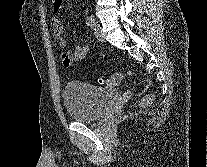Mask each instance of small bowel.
<instances>
[{"label": "small bowel", "instance_id": "small-bowel-1", "mask_svg": "<svg viewBox=\"0 0 207 167\" xmlns=\"http://www.w3.org/2000/svg\"><path fill=\"white\" fill-rule=\"evenodd\" d=\"M63 0H52L53 6V18L51 21L53 33L55 37L59 40V46L61 48V60L65 67H72L77 62H80L86 58L88 55L90 48L89 46H81L77 47L72 51H69L66 48L65 41L62 39L63 34V25L61 24L60 19L58 18V13L62 8Z\"/></svg>", "mask_w": 207, "mask_h": 167}]
</instances>
